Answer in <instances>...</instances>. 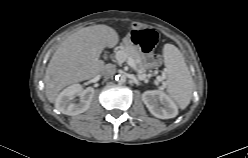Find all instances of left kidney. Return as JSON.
<instances>
[{
    "label": "left kidney",
    "mask_w": 248,
    "mask_h": 158,
    "mask_svg": "<svg viewBox=\"0 0 248 158\" xmlns=\"http://www.w3.org/2000/svg\"><path fill=\"white\" fill-rule=\"evenodd\" d=\"M142 101L150 113L160 119L174 118L178 109L172 99L160 90L145 91L142 94Z\"/></svg>",
    "instance_id": "1"
}]
</instances>
